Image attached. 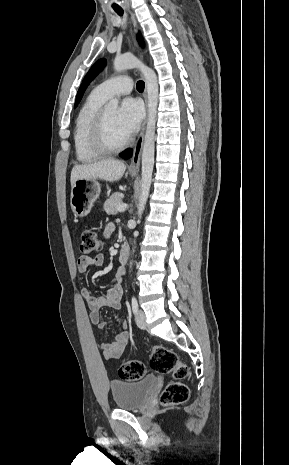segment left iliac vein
I'll use <instances>...</instances> for the list:
<instances>
[{"label": "left iliac vein", "mask_w": 289, "mask_h": 465, "mask_svg": "<svg viewBox=\"0 0 289 465\" xmlns=\"http://www.w3.org/2000/svg\"><path fill=\"white\" fill-rule=\"evenodd\" d=\"M135 321L140 329H146V315L143 310L137 311Z\"/></svg>", "instance_id": "left-iliac-vein-1"}]
</instances>
